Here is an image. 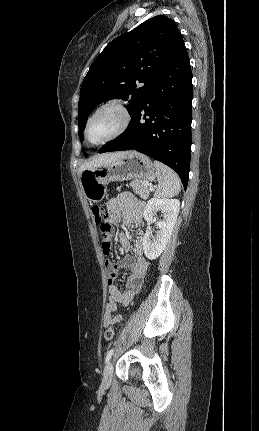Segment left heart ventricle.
Here are the masks:
<instances>
[{"instance_id":"b2bd125f","label":"left heart ventricle","mask_w":259,"mask_h":431,"mask_svg":"<svg viewBox=\"0 0 259 431\" xmlns=\"http://www.w3.org/2000/svg\"><path fill=\"white\" fill-rule=\"evenodd\" d=\"M121 122L120 113L114 108L100 112L91 122L88 137L91 142H99L117 130Z\"/></svg>"}]
</instances>
